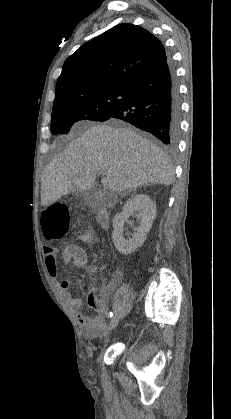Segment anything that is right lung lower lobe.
Returning a JSON list of instances; mask_svg holds the SVG:
<instances>
[{
	"mask_svg": "<svg viewBox=\"0 0 231 419\" xmlns=\"http://www.w3.org/2000/svg\"><path fill=\"white\" fill-rule=\"evenodd\" d=\"M110 118L131 123L173 147L179 134L180 98L169 60L133 82L125 100L106 120Z\"/></svg>",
	"mask_w": 231,
	"mask_h": 419,
	"instance_id": "98d812e1",
	"label": "right lung lower lobe"
}]
</instances>
